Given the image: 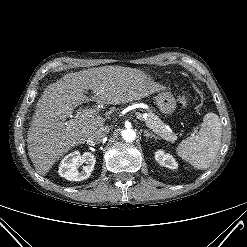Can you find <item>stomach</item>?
Returning <instances> with one entry per match:
<instances>
[{"label": "stomach", "instance_id": "obj_1", "mask_svg": "<svg viewBox=\"0 0 247 247\" xmlns=\"http://www.w3.org/2000/svg\"><path fill=\"white\" fill-rule=\"evenodd\" d=\"M159 110L164 114H171L176 108V100L169 92H161L156 96Z\"/></svg>", "mask_w": 247, "mask_h": 247}]
</instances>
